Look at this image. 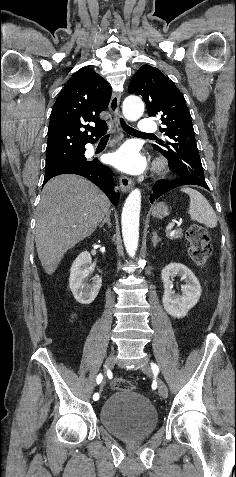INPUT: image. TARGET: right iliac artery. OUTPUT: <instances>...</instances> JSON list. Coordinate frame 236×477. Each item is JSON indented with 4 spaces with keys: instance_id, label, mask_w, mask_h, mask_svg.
<instances>
[{
    "instance_id": "obj_1",
    "label": "right iliac artery",
    "mask_w": 236,
    "mask_h": 477,
    "mask_svg": "<svg viewBox=\"0 0 236 477\" xmlns=\"http://www.w3.org/2000/svg\"><path fill=\"white\" fill-rule=\"evenodd\" d=\"M102 379H103V376H102V374L100 373V374L97 376V378H96L97 384H100V383L102 382ZM98 398H99V394H98V393H95V394L93 395V399H92L93 402H95V403L98 402V400H99Z\"/></svg>"
}]
</instances>
